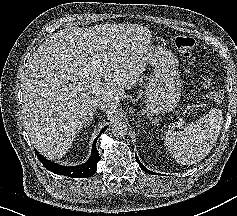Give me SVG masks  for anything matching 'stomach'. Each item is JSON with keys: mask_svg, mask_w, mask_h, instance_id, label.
Instances as JSON below:
<instances>
[{"mask_svg": "<svg viewBox=\"0 0 237 216\" xmlns=\"http://www.w3.org/2000/svg\"><path fill=\"white\" fill-rule=\"evenodd\" d=\"M155 62L156 76L146 90V108L142 110L147 115L173 111L181 95L179 74L170 53L159 48Z\"/></svg>", "mask_w": 237, "mask_h": 216, "instance_id": "1", "label": "stomach"}]
</instances>
